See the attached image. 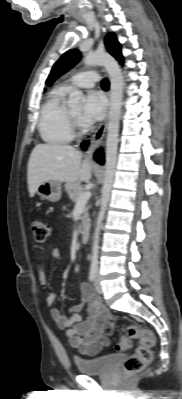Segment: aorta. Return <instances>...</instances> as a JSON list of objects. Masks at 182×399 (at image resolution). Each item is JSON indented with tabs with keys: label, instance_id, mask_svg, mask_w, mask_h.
I'll return each instance as SVG.
<instances>
[{
	"label": "aorta",
	"instance_id": "762f6f07",
	"mask_svg": "<svg viewBox=\"0 0 182 399\" xmlns=\"http://www.w3.org/2000/svg\"><path fill=\"white\" fill-rule=\"evenodd\" d=\"M85 67L102 65L105 67L111 82L110 111L106 138L105 178L101 190L100 211L96 221L92 245V265L98 263L99 235L103 219L110 199L114 182L117 161L119 121L121 116L122 97L124 81L122 71L117 61L106 52L89 53L84 58ZM84 95L80 90L74 89L70 92L68 105L77 108L82 105Z\"/></svg>",
	"mask_w": 182,
	"mask_h": 399
}]
</instances>
